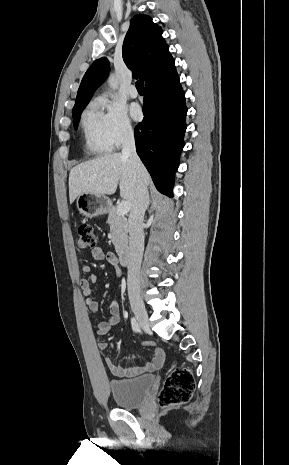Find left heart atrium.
I'll use <instances>...</instances> for the list:
<instances>
[{
    "label": "left heart atrium",
    "instance_id": "left-heart-atrium-1",
    "mask_svg": "<svg viewBox=\"0 0 289 465\" xmlns=\"http://www.w3.org/2000/svg\"><path fill=\"white\" fill-rule=\"evenodd\" d=\"M130 113L133 119L139 120L142 116L141 108L138 105H132Z\"/></svg>",
    "mask_w": 289,
    "mask_h": 465
}]
</instances>
